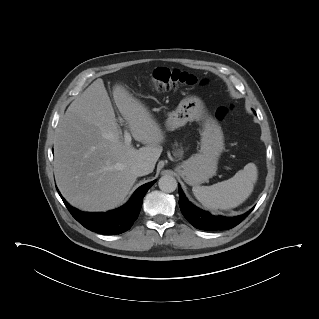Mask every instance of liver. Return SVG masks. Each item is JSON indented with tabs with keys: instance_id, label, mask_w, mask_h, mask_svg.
I'll return each mask as SVG.
<instances>
[{
	"instance_id": "obj_1",
	"label": "liver",
	"mask_w": 319,
	"mask_h": 319,
	"mask_svg": "<svg viewBox=\"0 0 319 319\" xmlns=\"http://www.w3.org/2000/svg\"><path fill=\"white\" fill-rule=\"evenodd\" d=\"M112 93L142 148L125 144L101 78L70 104L56 129V183L63 197L83 211H107L122 204L137 178L132 165L147 162L152 172L162 153L165 136L148 108L121 84Z\"/></svg>"
}]
</instances>
